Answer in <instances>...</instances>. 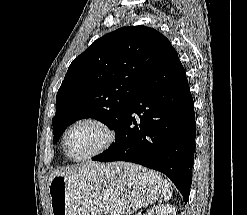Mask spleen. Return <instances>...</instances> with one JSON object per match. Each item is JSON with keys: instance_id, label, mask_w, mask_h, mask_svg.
Returning <instances> with one entry per match:
<instances>
[{"instance_id": "spleen-1", "label": "spleen", "mask_w": 247, "mask_h": 215, "mask_svg": "<svg viewBox=\"0 0 247 215\" xmlns=\"http://www.w3.org/2000/svg\"><path fill=\"white\" fill-rule=\"evenodd\" d=\"M162 196L165 200H169L172 196V188L167 180L162 181Z\"/></svg>"}]
</instances>
